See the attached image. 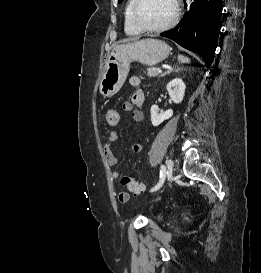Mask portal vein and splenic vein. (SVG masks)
<instances>
[{
    "label": "portal vein and splenic vein",
    "instance_id": "portal-vein-and-splenic-vein-1",
    "mask_svg": "<svg viewBox=\"0 0 261 273\" xmlns=\"http://www.w3.org/2000/svg\"><path fill=\"white\" fill-rule=\"evenodd\" d=\"M157 71H158V73H161V72H162V70H161V69H158Z\"/></svg>",
    "mask_w": 261,
    "mask_h": 273
}]
</instances>
